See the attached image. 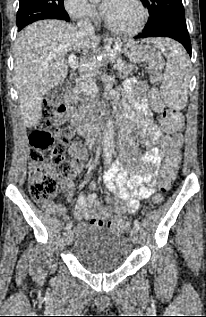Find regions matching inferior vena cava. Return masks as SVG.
Returning a JSON list of instances; mask_svg holds the SVG:
<instances>
[{
	"label": "inferior vena cava",
	"instance_id": "602c4592",
	"mask_svg": "<svg viewBox=\"0 0 206 317\" xmlns=\"http://www.w3.org/2000/svg\"><path fill=\"white\" fill-rule=\"evenodd\" d=\"M78 30L83 35H94V27L89 19H81L77 23ZM92 137V134H91Z\"/></svg>",
	"mask_w": 206,
	"mask_h": 317
}]
</instances>
